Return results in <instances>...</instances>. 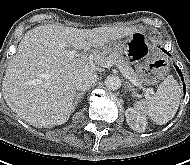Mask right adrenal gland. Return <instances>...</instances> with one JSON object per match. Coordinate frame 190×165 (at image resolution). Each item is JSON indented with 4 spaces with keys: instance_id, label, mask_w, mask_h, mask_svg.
I'll return each mask as SVG.
<instances>
[{
    "instance_id": "obj_1",
    "label": "right adrenal gland",
    "mask_w": 190,
    "mask_h": 165,
    "mask_svg": "<svg viewBox=\"0 0 190 165\" xmlns=\"http://www.w3.org/2000/svg\"><path fill=\"white\" fill-rule=\"evenodd\" d=\"M85 94V92H79V93H76L75 94V97H74V103H73V106H72V111L75 110L76 106L78 105L80 99L82 98V96Z\"/></svg>"
}]
</instances>
